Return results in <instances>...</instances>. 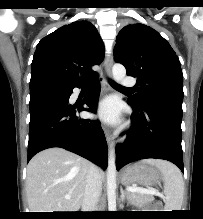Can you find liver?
Returning <instances> with one entry per match:
<instances>
[{"label": "liver", "instance_id": "liver-1", "mask_svg": "<svg viewBox=\"0 0 203 219\" xmlns=\"http://www.w3.org/2000/svg\"><path fill=\"white\" fill-rule=\"evenodd\" d=\"M91 163L63 148L36 154L27 166L26 192L31 212H77ZM99 178L104 172L98 168ZM69 195L70 199H65Z\"/></svg>", "mask_w": 203, "mask_h": 219}]
</instances>
